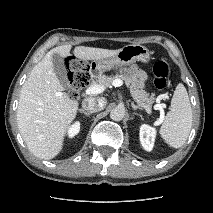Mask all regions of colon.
I'll list each match as a JSON object with an SVG mask.
<instances>
[{"label": "colon", "instance_id": "1", "mask_svg": "<svg viewBox=\"0 0 213 213\" xmlns=\"http://www.w3.org/2000/svg\"><path fill=\"white\" fill-rule=\"evenodd\" d=\"M68 92L71 96L77 97L90 80L86 64L79 60L69 62ZM154 85L158 90H163L167 85L169 67L163 60H157L152 69Z\"/></svg>", "mask_w": 213, "mask_h": 213}]
</instances>
